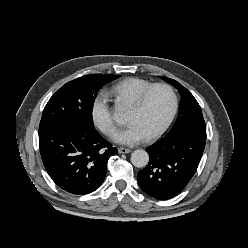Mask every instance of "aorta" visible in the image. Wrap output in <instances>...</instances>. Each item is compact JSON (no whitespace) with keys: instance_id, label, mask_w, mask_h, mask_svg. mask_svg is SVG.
Masks as SVG:
<instances>
[{"instance_id":"obj_1","label":"aorta","mask_w":248,"mask_h":248,"mask_svg":"<svg viewBox=\"0 0 248 248\" xmlns=\"http://www.w3.org/2000/svg\"><path fill=\"white\" fill-rule=\"evenodd\" d=\"M124 108L120 103L115 104L114 117L120 119L123 115ZM131 162L135 167H145L149 162V155L145 150L138 149L131 154Z\"/></svg>"}]
</instances>
